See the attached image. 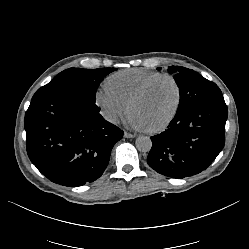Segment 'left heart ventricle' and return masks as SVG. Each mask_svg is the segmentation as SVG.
<instances>
[{
	"label": "left heart ventricle",
	"instance_id": "obj_1",
	"mask_svg": "<svg viewBox=\"0 0 249 249\" xmlns=\"http://www.w3.org/2000/svg\"><path fill=\"white\" fill-rule=\"evenodd\" d=\"M177 90L169 79L156 82L149 91L130 108L135 111L146 129L157 127L174 111Z\"/></svg>",
	"mask_w": 249,
	"mask_h": 249
}]
</instances>
